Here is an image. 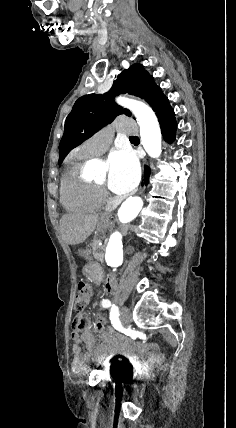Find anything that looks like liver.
I'll return each mask as SVG.
<instances>
[{"label":"liver","instance_id":"1","mask_svg":"<svg viewBox=\"0 0 236 428\" xmlns=\"http://www.w3.org/2000/svg\"><path fill=\"white\" fill-rule=\"evenodd\" d=\"M98 220L97 214H64L60 220L62 240L71 246L82 244L96 230Z\"/></svg>","mask_w":236,"mask_h":428}]
</instances>
